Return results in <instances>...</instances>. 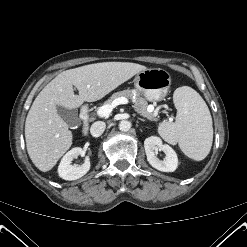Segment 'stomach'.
Returning a JSON list of instances; mask_svg holds the SVG:
<instances>
[{
	"label": "stomach",
	"instance_id": "stomach-1",
	"mask_svg": "<svg viewBox=\"0 0 247 247\" xmlns=\"http://www.w3.org/2000/svg\"><path fill=\"white\" fill-rule=\"evenodd\" d=\"M170 74L161 68L145 69L135 79V88L149 101L163 100L171 86Z\"/></svg>",
	"mask_w": 247,
	"mask_h": 247
}]
</instances>
